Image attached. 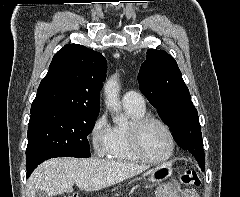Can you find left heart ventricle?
Here are the masks:
<instances>
[{
    "label": "left heart ventricle",
    "instance_id": "1",
    "mask_svg": "<svg viewBox=\"0 0 240 197\" xmlns=\"http://www.w3.org/2000/svg\"><path fill=\"white\" fill-rule=\"evenodd\" d=\"M145 152L154 159L165 157L170 150V140L164 128L157 123L148 124L142 132Z\"/></svg>",
    "mask_w": 240,
    "mask_h": 197
}]
</instances>
